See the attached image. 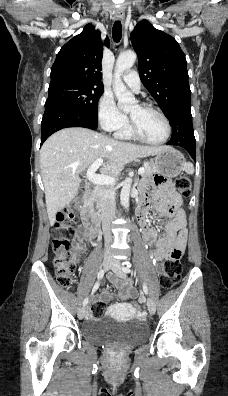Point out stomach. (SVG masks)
<instances>
[{
	"label": "stomach",
	"instance_id": "1",
	"mask_svg": "<svg viewBox=\"0 0 228 396\" xmlns=\"http://www.w3.org/2000/svg\"><path fill=\"white\" fill-rule=\"evenodd\" d=\"M151 156L154 157V164L158 172L167 177L178 176L185 165L183 154L172 147H168Z\"/></svg>",
	"mask_w": 228,
	"mask_h": 396
}]
</instances>
